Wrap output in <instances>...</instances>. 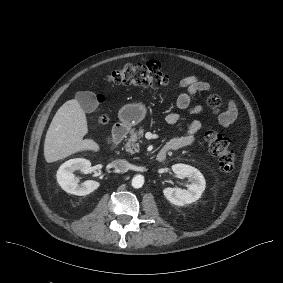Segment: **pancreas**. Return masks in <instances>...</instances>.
Instances as JSON below:
<instances>
[{
    "label": "pancreas",
    "mask_w": 283,
    "mask_h": 283,
    "mask_svg": "<svg viewBox=\"0 0 283 283\" xmlns=\"http://www.w3.org/2000/svg\"><path fill=\"white\" fill-rule=\"evenodd\" d=\"M143 133L144 130L142 128H140L138 131H135V129L130 130V138L125 144V149L127 152L131 154L139 152V143H137V140L143 136Z\"/></svg>",
    "instance_id": "pancreas-1"
}]
</instances>
